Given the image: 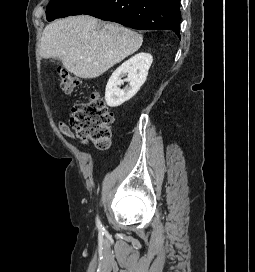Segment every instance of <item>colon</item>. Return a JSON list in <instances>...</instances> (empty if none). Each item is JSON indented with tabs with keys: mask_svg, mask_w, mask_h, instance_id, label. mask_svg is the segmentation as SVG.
Here are the masks:
<instances>
[{
	"mask_svg": "<svg viewBox=\"0 0 255 272\" xmlns=\"http://www.w3.org/2000/svg\"><path fill=\"white\" fill-rule=\"evenodd\" d=\"M58 77L62 90L67 94L75 93L82 86V81L65 69L58 71ZM113 121V113L103 99L93 93L86 101L72 108L70 125L80 140L89 141L103 150L111 144Z\"/></svg>",
	"mask_w": 255,
	"mask_h": 272,
	"instance_id": "colon-1",
	"label": "colon"
}]
</instances>
